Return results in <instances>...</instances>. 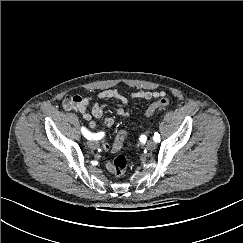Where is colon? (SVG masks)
I'll return each mask as SVG.
<instances>
[{"mask_svg": "<svg viewBox=\"0 0 243 243\" xmlns=\"http://www.w3.org/2000/svg\"><path fill=\"white\" fill-rule=\"evenodd\" d=\"M82 101V98L78 95L67 96L64 100V107L66 109H75L76 106ZM170 104V99L162 97L159 100L153 102L146 110V115L151 116L156 110L164 108ZM127 140V133L121 131L115 138L113 143V152H117L121 149L124 142ZM128 167V159L125 155L119 154L113 161V173L117 177H121L125 174Z\"/></svg>", "mask_w": 243, "mask_h": 243, "instance_id": "5ec220e1", "label": "colon"}]
</instances>
